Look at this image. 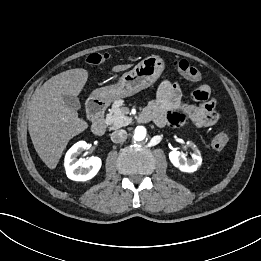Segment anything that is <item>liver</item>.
<instances>
[{"mask_svg": "<svg viewBox=\"0 0 261 261\" xmlns=\"http://www.w3.org/2000/svg\"><path fill=\"white\" fill-rule=\"evenodd\" d=\"M131 66L116 65L112 71H125ZM87 79V70L70 69L50 78L32 96L28 130L36 152L50 169L56 168L68 142L88 128L87 122L67 107L62 97L79 95Z\"/></svg>", "mask_w": 261, "mask_h": 261, "instance_id": "liver-1", "label": "liver"}]
</instances>
